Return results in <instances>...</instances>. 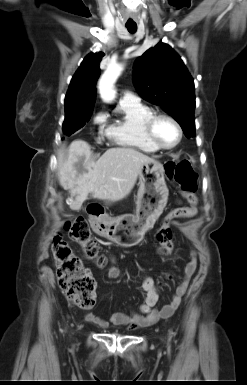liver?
Here are the masks:
<instances>
[{
	"label": "liver",
	"mask_w": 247,
	"mask_h": 385,
	"mask_svg": "<svg viewBox=\"0 0 247 385\" xmlns=\"http://www.w3.org/2000/svg\"><path fill=\"white\" fill-rule=\"evenodd\" d=\"M151 160L133 148H110L95 161L89 144L75 140L58 152L59 183L69 190L67 204L73 210L81 208L89 193L116 202L130 194L143 164Z\"/></svg>",
	"instance_id": "obj_1"
}]
</instances>
